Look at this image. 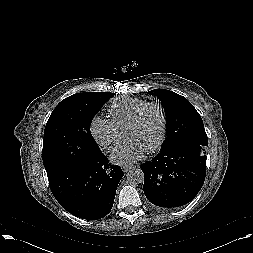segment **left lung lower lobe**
<instances>
[{
    "instance_id": "obj_1",
    "label": "left lung lower lobe",
    "mask_w": 253,
    "mask_h": 253,
    "mask_svg": "<svg viewBox=\"0 0 253 253\" xmlns=\"http://www.w3.org/2000/svg\"><path fill=\"white\" fill-rule=\"evenodd\" d=\"M203 145L187 142L161 149L141 164L146 198L161 208H176L194 199L206 176V151Z\"/></svg>"
}]
</instances>
